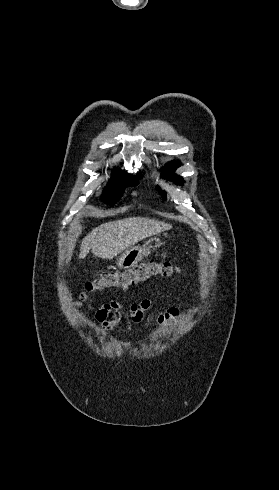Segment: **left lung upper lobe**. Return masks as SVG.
Listing matches in <instances>:
<instances>
[{
    "label": "left lung upper lobe",
    "instance_id": "5c2ea615",
    "mask_svg": "<svg viewBox=\"0 0 279 490\" xmlns=\"http://www.w3.org/2000/svg\"><path fill=\"white\" fill-rule=\"evenodd\" d=\"M179 166V162H170L167 165L164 166L162 170V177L167 178L169 180H172L173 182L177 184H183V179L176 174H174V170ZM159 190V193L162 195L163 199H166L165 191L160 190L159 187H157Z\"/></svg>",
    "mask_w": 279,
    "mask_h": 490
}]
</instances>
